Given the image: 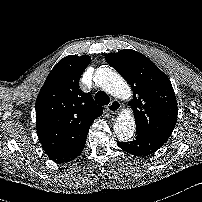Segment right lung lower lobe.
<instances>
[{"mask_svg":"<svg viewBox=\"0 0 202 202\" xmlns=\"http://www.w3.org/2000/svg\"><path fill=\"white\" fill-rule=\"evenodd\" d=\"M88 132H89V129H88V131H87V134H86V136H85V139H84L82 145L78 148V150L75 151V152H74L70 157H68L67 159L62 160L61 163L70 162V161H72L73 159H75L77 156L80 155V153L83 151V149H84V147H85V143H86V138H87Z\"/></svg>","mask_w":202,"mask_h":202,"instance_id":"obj_1","label":"right lung lower lobe"}]
</instances>
